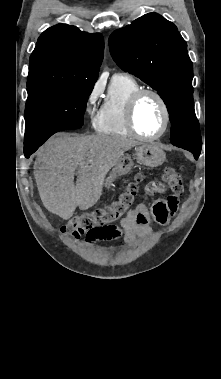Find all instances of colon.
<instances>
[{
	"instance_id": "5ec220e1",
	"label": "colon",
	"mask_w": 221,
	"mask_h": 379,
	"mask_svg": "<svg viewBox=\"0 0 221 379\" xmlns=\"http://www.w3.org/2000/svg\"><path fill=\"white\" fill-rule=\"evenodd\" d=\"M143 176L138 174L129 181L117 200L111 205L73 216L65 224L61 232L73 238H80L84 234L102 235L108 233L115 224L127 216L138 193V185ZM163 179L170 190H183L181 175L174 168L168 167L164 170Z\"/></svg>"
}]
</instances>
